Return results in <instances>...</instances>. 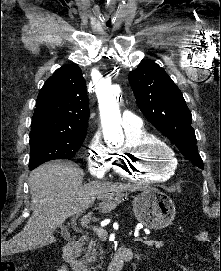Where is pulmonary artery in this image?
I'll list each match as a JSON object with an SVG mask.
<instances>
[{"mask_svg":"<svg viewBox=\"0 0 221 271\" xmlns=\"http://www.w3.org/2000/svg\"><path fill=\"white\" fill-rule=\"evenodd\" d=\"M142 125L139 117H134V112H123L122 122L119 123L120 127H142ZM134 133H141V128H127L124 138H134Z\"/></svg>","mask_w":221,"mask_h":271,"instance_id":"pulmonary-artery-1","label":"pulmonary artery"}]
</instances>
